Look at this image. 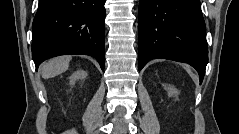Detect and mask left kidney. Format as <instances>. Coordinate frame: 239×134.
<instances>
[{
    "label": "left kidney",
    "mask_w": 239,
    "mask_h": 134,
    "mask_svg": "<svg viewBox=\"0 0 239 134\" xmlns=\"http://www.w3.org/2000/svg\"><path fill=\"white\" fill-rule=\"evenodd\" d=\"M165 90L167 91L169 97L178 96L179 94V91L172 85H168L167 87H165Z\"/></svg>",
    "instance_id": "obj_1"
}]
</instances>
